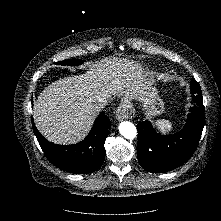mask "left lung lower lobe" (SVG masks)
Segmentation results:
<instances>
[{
    "label": "left lung lower lobe",
    "instance_id": "1",
    "mask_svg": "<svg viewBox=\"0 0 221 221\" xmlns=\"http://www.w3.org/2000/svg\"><path fill=\"white\" fill-rule=\"evenodd\" d=\"M193 99L197 105L190 108L184 128L176 134L160 135L149 121L138 123V162L146 171H171L193 155L205 123L202 94L193 96Z\"/></svg>",
    "mask_w": 221,
    "mask_h": 221
}]
</instances>
